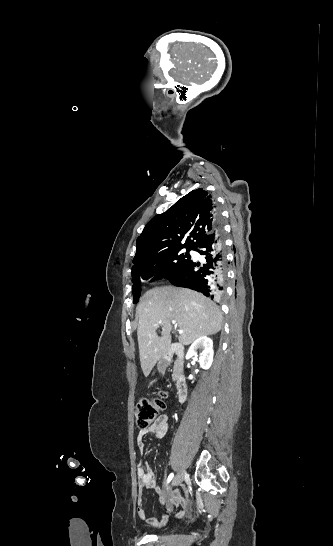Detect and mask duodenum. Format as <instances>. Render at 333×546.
<instances>
[{
  "mask_svg": "<svg viewBox=\"0 0 333 546\" xmlns=\"http://www.w3.org/2000/svg\"><path fill=\"white\" fill-rule=\"evenodd\" d=\"M167 357L175 359L173 375L175 380L176 394L180 402H183L188 393L186 378L182 372V363L184 359V348L181 345L173 344L170 346Z\"/></svg>",
  "mask_w": 333,
  "mask_h": 546,
  "instance_id": "410a0bca",
  "label": "duodenum"
}]
</instances>
